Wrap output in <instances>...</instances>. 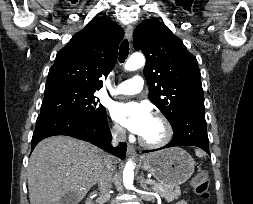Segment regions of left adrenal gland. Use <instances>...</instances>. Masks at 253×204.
Here are the masks:
<instances>
[{
  "label": "left adrenal gland",
  "mask_w": 253,
  "mask_h": 204,
  "mask_svg": "<svg viewBox=\"0 0 253 204\" xmlns=\"http://www.w3.org/2000/svg\"><path fill=\"white\" fill-rule=\"evenodd\" d=\"M139 182H140L141 187H142L144 190H148V187H147V185L145 184V180H144V173H141Z\"/></svg>",
  "instance_id": "1"
}]
</instances>
